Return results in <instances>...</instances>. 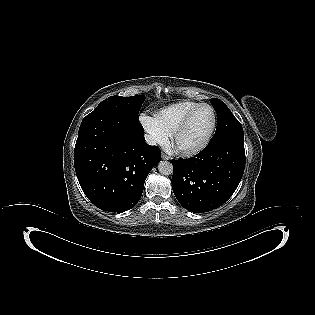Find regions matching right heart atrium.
I'll use <instances>...</instances> for the list:
<instances>
[{
	"mask_svg": "<svg viewBox=\"0 0 315 315\" xmlns=\"http://www.w3.org/2000/svg\"><path fill=\"white\" fill-rule=\"evenodd\" d=\"M139 121L145 132L148 134V139L151 144L160 146L167 145L169 135L155 117L141 114Z\"/></svg>",
	"mask_w": 315,
	"mask_h": 315,
	"instance_id": "1",
	"label": "right heart atrium"
}]
</instances>
